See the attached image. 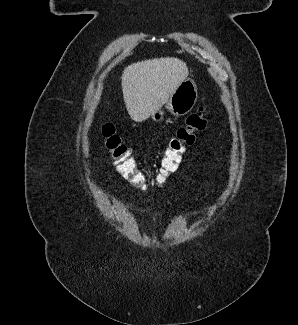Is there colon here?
<instances>
[{
  "instance_id": "obj_1",
  "label": "colon",
  "mask_w": 298,
  "mask_h": 325,
  "mask_svg": "<svg viewBox=\"0 0 298 325\" xmlns=\"http://www.w3.org/2000/svg\"><path fill=\"white\" fill-rule=\"evenodd\" d=\"M209 110L201 106L197 112L190 114L183 126L177 129L174 137L163 151L160 166L156 173V180L164 184L177 169L187 146L195 141V133L202 131L207 125ZM104 145L117 171L139 190H146L148 181L131 151L122 143L116 128L111 123L102 126Z\"/></svg>"
}]
</instances>
